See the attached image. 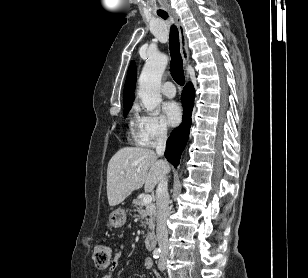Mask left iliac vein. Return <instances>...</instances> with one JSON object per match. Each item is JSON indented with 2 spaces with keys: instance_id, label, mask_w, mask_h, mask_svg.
Returning <instances> with one entry per match:
<instances>
[{
  "instance_id": "left-iliac-vein-1",
  "label": "left iliac vein",
  "mask_w": 308,
  "mask_h": 278,
  "mask_svg": "<svg viewBox=\"0 0 308 278\" xmlns=\"http://www.w3.org/2000/svg\"><path fill=\"white\" fill-rule=\"evenodd\" d=\"M166 257H167V254L165 252H163L161 254L159 261H158V268L160 270H165V268H166Z\"/></svg>"
}]
</instances>
